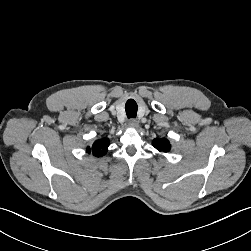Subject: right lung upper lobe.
I'll return each instance as SVG.
<instances>
[{
    "mask_svg": "<svg viewBox=\"0 0 251 251\" xmlns=\"http://www.w3.org/2000/svg\"><path fill=\"white\" fill-rule=\"evenodd\" d=\"M109 139L107 138H102L94 142L92 147H87V152L88 153H93L94 156L96 157H101L102 155H105L108 146H109Z\"/></svg>",
    "mask_w": 251,
    "mask_h": 251,
    "instance_id": "right-lung-upper-lobe-1",
    "label": "right lung upper lobe"
}]
</instances>
